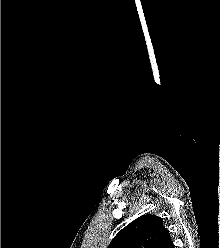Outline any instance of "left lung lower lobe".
Returning <instances> with one entry per match:
<instances>
[{
    "instance_id": "0a47b994",
    "label": "left lung lower lobe",
    "mask_w": 220,
    "mask_h": 248,
    "mask_svg": "<svg viewBox=\"0 0 220 248\" xmlns=\"http://www.w3.org/2000/svg\"><path fill=\"white\" fill-rule=\"evenodd\" d=\"M169 248H174L173 243H172V245Z\"/></svg>"
}]
</instances>
